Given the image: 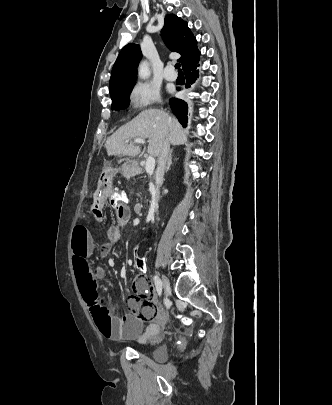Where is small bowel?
Listing matches in <instances>:
<instances>
[{
    "label": "small bowel",
    "mask_w": 332,
    "mask_h": 405,
    "mask_svg": "<svg viewBox=\"0 0 332 405\" xmlns=\"http://www.w3.org/2000/svg\"><path fill=\"white\" fill-rule=\"evenodd\" d=\"M125 171L136 172L138 164L132 158L122 160ZM113 166H103L99 175V183L95 184L94 199L89 215L98 221L104 218V208L110 202L112 192L110 183L113 176ZM123 212H115L121 225L126 224L131 218L129 201L124 206ZM121 231L118 227L109 230V242L101 247V254L106 255L111 243L119 239ZM95 243L88 229L83 225H76L71 238L72 266L76 276V286L81 295V302L89 305L90 320L97 326L98 332L109 340L115 342L136 340L140 344H159L161 342L160 323L163 319L160 309L153 304L149 284L143 277L136 278L132 283L133 295L129 298L131 313L116 315L115 311H108V301H100L101 284L99 277L102 273L91 267L90 257ZM132 259L126 260V266L132 264ZM110 265L115 261L110 260ZM148 323V324H147ZM147 324V325H146Z\"/></svg>",
    "instance_id": "obj_1"
}]
</instances>
